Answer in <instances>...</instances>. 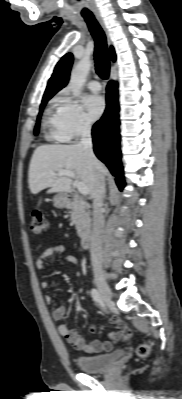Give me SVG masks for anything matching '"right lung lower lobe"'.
<instances>
[{"label": "right lung lower lobe", "mask_w": 182, "mask_h": 399, "mask_svg": "<svg viewBox=\"0 0 182 399\" xmlns=\"http://www.w3.org/2000/svg\"><path fill=\"white\" fill-rule=\"evenodd\" d=\"M106 90V110L92 128L94 152L116 177L115 181L122 190L125 182L121 165L117 83L110 81Z\"/></svg>", "instance_id": "98d812e1"}]
</instances>
